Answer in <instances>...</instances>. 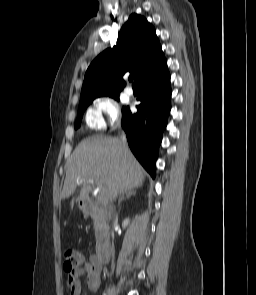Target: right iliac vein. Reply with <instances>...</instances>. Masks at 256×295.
Instances as JSON below:
<instances>
[{
  "label": "right iliac vein",
  "instance_id": "obj_1",
  "mask_svg": "<svg viewBox=\"0 0 256 295\" xmlns=\"http://www.w3.org/2000/svg\"><path fill=\"white\" fill-rule=\"evenodd\" d=\"M108 295H116L114 286L110 287V289L108 291Z\"/></svg>",
  "mask_w": 256,
  "mask_h": 295
}]
</instances>
